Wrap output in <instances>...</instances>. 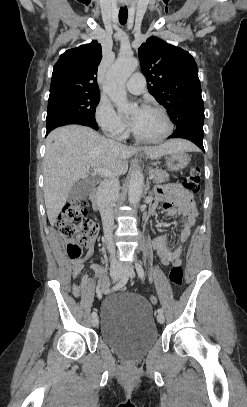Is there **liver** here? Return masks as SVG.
<instances>
[{
  "label": "liver",
  "instance_id": "obj_1",
  "mask_svg": "<svg viewBox=\"0 0 247 407\" xmlns=\"http://www.w3.org/2000/svg\"><path fill=\"white\" fill-rule=\"evenodd\" d=\"M188 141L175 139L158 146L132 148L107 139L93 129L68 125L52 131L46 140L44 168V199L47 216L53 226L66 203L72 186L88 177L90 169L105 168L112 176L128 170V159L143 151L157 159L176 151H191Z\"/></svg>",
  "mask_w": 247,
  "mask_h": 407
}]
</instances>
